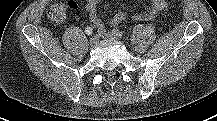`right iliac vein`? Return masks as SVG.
I'll use <instances>...</instances> for the list:
<instances>
[{
    "mask_svg": "<svg viewBox=\"0 0 217 121\" xmlns=\"http://www.w3.org/2000/svg\"><path fill=\"white\" fill-rule=\"evenodd\" d=\"M99 41V37L97 35L90 38L89 43L91 46H95Z\"/></svg>",
    "mask_w": 217,
    "mask_h": 121,
    "instance_id": "1",
    "label": "right iliac vein"
}]
</instances>
